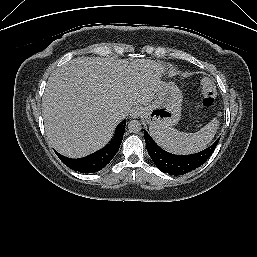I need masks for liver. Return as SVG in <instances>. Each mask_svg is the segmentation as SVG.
Masks as SVG:
<instances>
[{
    "label": "liver",
    "mask_w": 257,
    "mask_h": 257,
    "mask_svg": "<svg viewBox=\"0 0 257 257\" xmlns=\"http://www.w3.org/2000/svg\"><path fill=\"white\" fill-rule=\"evenodd\" d=\"M165 65L150 59H72L49 77L42 115L50 144L70 158L104 147L133 105L155 98Z\"/></svg>",
    "instance_id": "liver-1"
}]
</instances>
